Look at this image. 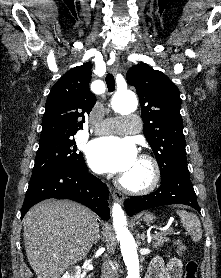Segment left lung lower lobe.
Returning a JSON list of instances; mask_svg holds the SVG:
<instances>
[{
	"label": "left lung lower lobe",
	"mask_w": 221,
	"mask_h": 278,
	"mask_svg": "<svg viewBox=\"0 0 221 278\" xmlns=\"http://www.w3.org/2000/svg\"><path fill=\"white\" fill-rule=\"evenodd\" d=\"M170 204H184L200 211L187 166L177 167L161 177V186L155 192L128 198L125 207L128 215L132 216L144 209Z\"/></svg>",
	"instance_id": "left-lung-lower-lobe-1"
}]
</instances>
